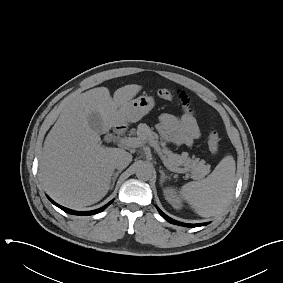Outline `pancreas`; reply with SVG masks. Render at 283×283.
<instances>
[{
  "mask_svg": "<svg viewBox=\"0 0 283 283\" xmlns=\"http://www.w3.org/2000/svg\"><path fill=\"white\" fill-rule=\"evenodd\" d=\"M137 138L141 142L146 141H156L158 142L159 136L157 133L153 132L152 129L145 123H140L138 125ZM161 146L163 147V161L170 169H178L180 166H184L187 172L193 179H199L205 177L210 172V165L205 164L204 160H199L198 158L188 157L187 152H183L181 155L172 153L167 147L166 143L161 141Z\"/></svg>",
  "mask_w": 283,
  "mask_h": 283,
  "instance_id": "cf45deb5",
  "label": "pancreas"
}]
</instances>
